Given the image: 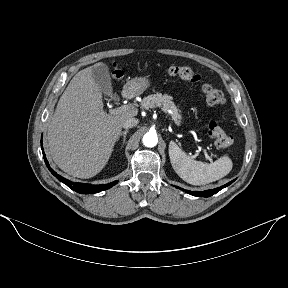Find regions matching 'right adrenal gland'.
Here are the masks:
<instances>
[{
  "label": "right adrenal gland",
  "instance_id": "right-adrenal-gland-1",
  "mask_svg": "<svg viewBox=\"0 0 288 288\" xmlns=\"http://www.w3.org/2000/svg\"><path fill=\"white\" fill-rule=\"evenodd\" d=\"M129 132V130H125V131H122L118 138H117V142L119 141L120 137L123 136V142H122V145H121V148H123L124 144H125V140H126V135L127 133Z\"/></svg>",
  "mask_w": 288,
  "mask_h": 288
}]
</instances>
